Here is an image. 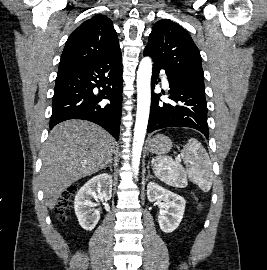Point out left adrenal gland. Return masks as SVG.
<instances>
[{
    "mask_svg": "<svg viewBox=\"0 0 267 270\" xmlns=\"http://www.w3.org/2000/svg\"><path fill=\"white\" fill-rule=\"evenodd\" d=\"M149 178H153V176L150 174V171L148 170L147 180H148Z\"/></svg>",
    "mask_w": 267,
    "mask_h": 270,
    "instance_id": "left-adrenal-gland-1",
    "label": "left adrenal gland"
}]
</instances>
